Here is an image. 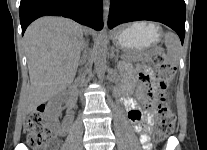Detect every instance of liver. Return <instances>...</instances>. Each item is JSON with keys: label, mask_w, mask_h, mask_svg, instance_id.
Masks as SVG:
<instances>
[{"label": "liver", "mask_w": 207, "mask_h": 150, "mask_svg": "<svg viewBox=\"0 0 207 150\" xmlns=\"http://www.w3.org/2000/svg\"><path fill=\"white\" fill-rule=\"evenodd\" d=\"M83 27L66 18L42 17L24 34L30 76L26 112L65 90L74 80L83 48Z\"/></svg>", "instance_id": "obj_1"}]
</instances>
